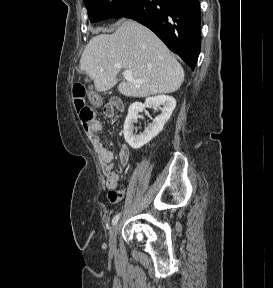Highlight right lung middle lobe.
Here are the masks:
<instances>
[{
  "instance_id": "right-lung-middle-lobe-1",
  "label": "right lung middle lobe",
  "mask_w": 273,
  "mask_h": 288,
  "mask_svg": "<svg viewBox=\"0 0 273 288\" xmlns=\"http://www.w3.org/2000/svg\"><path fill=\"white\" fill-rule=\"evenodd\" d=\"M137 0H84L91 22L119 18L127 13Z\"/></svg>"
}]
</instances>
